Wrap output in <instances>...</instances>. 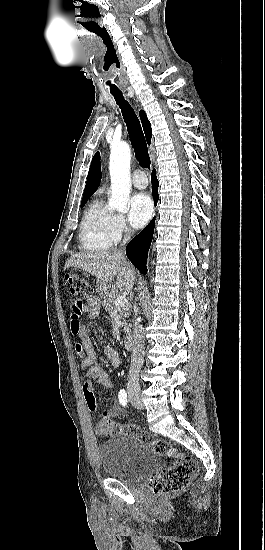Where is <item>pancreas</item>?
I'll list each match as a JSON object with an SVG mask.
<instances>
[{
  "mask_svg": "<svg viewBox=\"0 0 265 550\" xmlns=\"http://www.w3.org/2000/svg\"><path fill=\"white\" fill-rule=\"evenodd\" d=\"M119 295L120 294L118 293V291L114 289L112 292L106 295L103 301V306L108 312H110L111 310H117L121 318H128L130 316L132 306L129 303L125 306H115V300L117 299V297H119ZM130 328V324H124V331L126 333L131 332Z\"/></svg>",
  "mask_w": 265,
  "mask_h": 550,
  "instance_id": "obj_1",
  "label": "pancreas"
}]
</instances>
